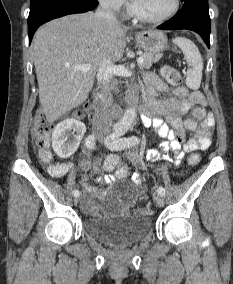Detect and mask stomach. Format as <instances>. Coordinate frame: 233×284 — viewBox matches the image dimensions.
Returning <instances> with one entry per match:
<instances>
[{
	"instance_id": "0dacf381",
	"label": "stomach",
	"mask_w": 233,
	"mask_h": 284,
	"mask_svg": "<svg viewBox=\"0 0 233 284\" xmlns=\"http://www.w3.org/2000/svg\"><path fill=\"white\" fill-rule=\"evenodd\" d=\"M135 37L138 45L148 53L157 54L166 49L167 37L160 31L143 30Z\"/></svg>"
}]
</instances>
